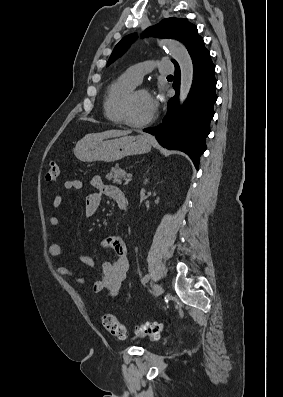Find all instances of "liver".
Masks as SVG:
<instances>
[{"label": "liver", "mask_w": 283, "mask_h": 397, "mask_svg": "<svg viewBox=\"0 0 283 397\" xmlns=\"http://www.w3.org/2000/svg\"><path fill=\"white\" fill-rule=\"evenodd\" d=\"M130 133H131L130 130H107V131H104L101 133L87 134L83 139L103 140V139L112 138V137L126 136Z\"/></svg>", "instance_id": "1"}]
</instances>
